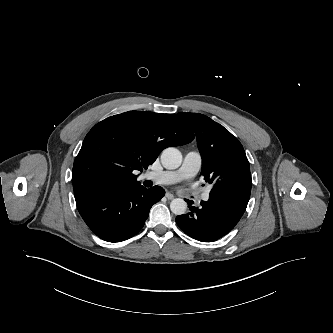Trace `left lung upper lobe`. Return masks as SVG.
Returning a JSON list of instances; mask_svg holds the SVG:
<instances>
[{
    "label": "left lung upper lobe",
    "mask_w": 333,
    "mask_h": 333,
    "mask_svg": "<svg viewBox=\"0 0 333 333\" xmlns=\"http://www.w3.org/2000/svg\"><path fill=\"white\" fill-rule=\"evenodd\" d=\"M193 128L202 156L204 180L213 185L233 174L249 171V161L241 143L227 129L199 113H179Z\"/></svg>",
    "instance_id": "1"
}]
</instances>
